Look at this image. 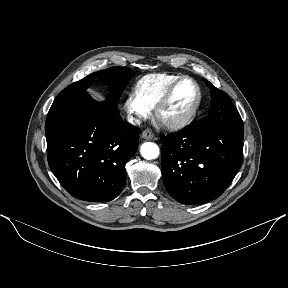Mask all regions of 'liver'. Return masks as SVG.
<instances>
[{
  "instance_id": "6515ba94",
  "label": "liver",
  "mask_w": 288,
  "mask_h": 288,
  "mask_svg": "<svg viewBox=\"0 0 288 288\" xmlns=\"http://www.w3.org/2000/svg\"><path fill=\"white\" fill-rule=\"evenodd\" d=\"M92 92V94H93V96L94 97H96V98H99V99H103V97L100 95V94H98V93H96V92H94V91H91Z\"/></svg>"
}]
</instances>
